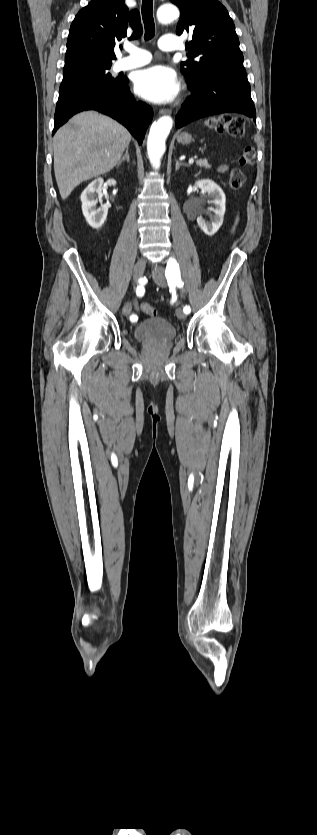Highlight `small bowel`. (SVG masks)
<instances>
[{
  "label": "small bowel",
  "mask_w": 317,
  "mask_h": 835,
  "mask_svg": "<svg viewBox=\"0 0 317 835\" xmlns=\"http://www.w3.org/2000/svg\"><path fill=\"white\" fill-rule=\"evenodd\" d=\"M226 169H227V166H226V165H222V166H220V167H219V170H220V171H225ZM128 304H129V305L131 306V308H132L131 303H128ZM135 316H136V315H135ZM136 317H137V316H136Z\"/></svg>",
  "instance_id": "c3829d8e"
}]
</instances>
